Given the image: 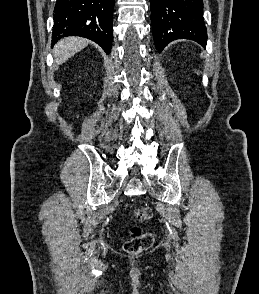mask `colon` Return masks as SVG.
I'll return each instance as SVG.
<instances>
[{"mask_svg": "<svg viewBox=\"0 0 259 294\" xmlns=\"http://www.w3.org/2000/svg\"><path fill=\"white\" fill-rule=\"evenodd\" d=\"M133 218L139 222H145L152 216V211L146 206H137L132 210ZM154 236L149 231H143L138 226H133L130 230V236L124 243V250L130 254L142 252L152 246Z\"/></svg>", "mask_w": 259, "mask_h": 294, "instance_id": "1", "label": "colon"}]
</instances>
